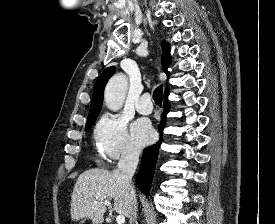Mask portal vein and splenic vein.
I'll use <instances>...</instances> for the list:
<instances>
[{
  "label": "portal vein and splenic vein",
  "mask_w": 275,
  "mask_h": 224,
  "mask_svg": "<svg viewBox=\"0 0 275 224\" xmlns=\"http://www.w3.org/2000/svg\"><path fill=\"white\" fill-rule=\"evenodd\" d=\"M100 204H103V205L108 206V207H112L110 201H108V200L101 201ZM116 222H117V224H124L125 223V217L123 215H118L116 217Z\"/></svg>",
  "instance_id": "portal-vein-and-splenic-vein-1"
}]
</instances>
